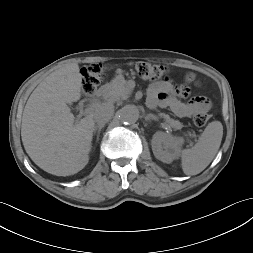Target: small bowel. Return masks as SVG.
Returning a JSON list of instances; mask_svg holds the SVG:
<instances>
[{
    "mask_svg": "<svg viewBox=\"0 0 253 253\" xmlns=\"http://www.w3.org/2000/svg\"><path fill=\"white\" fill-rule=\"evenodd\" d=\"M121 77L122 71L118 69L114 78L117 80ZM188 94L189 90L185 86H177L171 80L163 79L150 84L147 92V103L150 108H169L181 118H189L198 112L209 110L210 102L206 97L196 96L185 102L177 97L184 98Z\"/></svg>",
    "mask_w": 253,
    "mask_h": 253,
    "instance_id": "c3829d8e",
    "label": "small bowel"
}]
</instances>
